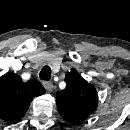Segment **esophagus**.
Wrapping results in <instances>:
<instances>
[{
  "label": "esophagus",
  "mask_w": 130,
  "mask_h": 130,
  "mask_svg": "<svg viewBox=\"0 0 130 130\" xmlns=\"http://www.w3.org/2000/svg\"><path fill=\"white\" fill-rule=\"evenodd\" d=\"M43 86L45 87V89L47 90V91H51L52 89H53V83L52 82H50V81H44L43 82Z\"/></svg>",
  "instance_id": "obj_1"
}]
</instances>
